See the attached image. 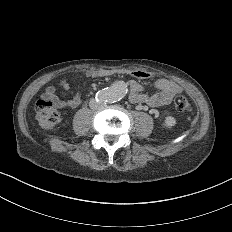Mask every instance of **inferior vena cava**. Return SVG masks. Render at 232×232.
Here are the masks:
<instances>
[{
	"label": "inferior vena cava",
	"mask_w": 232,
	"mask_h": 232,
	"mask_svg": "<svg viewBox=\"0 0 232 232\" xmlns=\"http://www.w3.org/2000/svg\"><path fill=\"white\" fill-rule=\"evenodd\" d=\"M88 106L90 109L95 110L98 108L99 105L94 102V99H92L89 101Z\"/></svg>",
	"instance_id": "inferior-vena-cava-1"
}]
</instances>
